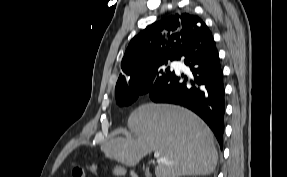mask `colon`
<instances>
[{"mask_svg":"<svg viewBox=\"0 0 287 177\" xmlns=\"http://www.w3.org/2000/svg\"><path fill=\"white\" fill-rule=\"evenodd\" d=\"M99 168V165L97 164H92L89 168L90 171H93L95 169ZM73 176L74 177H88L89 173L87 170L83 169V168H77L73 171Z\"/></svg>","mask_w":287,"mask_h":177,"instance_id":"colon-1","label":"colon"}]
</instances>
